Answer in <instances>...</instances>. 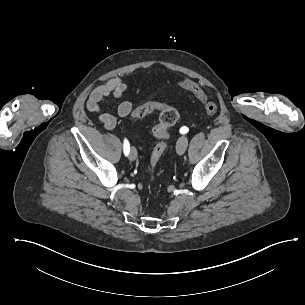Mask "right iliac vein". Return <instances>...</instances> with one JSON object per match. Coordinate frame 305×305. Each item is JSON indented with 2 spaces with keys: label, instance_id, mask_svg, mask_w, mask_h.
<instances>
[{
  "label": "right iliac vein",
  "instance_id": "obj_1",
  "mask_svg": "<svg viewBox=\"0 0 305 305\" xmlns=\"http://www.w3.org/2000/svg\"><path fill=\"white\" fill-rule=\"evenodd\" d=\"M129 158L131 161H134L137 158V151L134 147H132L130 150Z\"/></svg>",
  "mask_w": 305,
  "mask_h": 305
}]
</instances>
